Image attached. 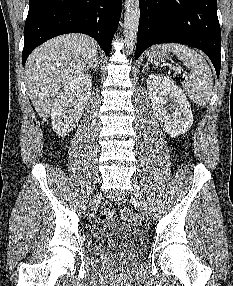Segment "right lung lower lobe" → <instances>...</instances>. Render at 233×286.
I'll use <instances>...</instances> for the list:
<instances>
[{"instance_id":"1","label":"right lung lower lobe","mask_w":233,"mask_h":286,"mask_svg":"<svg viewBox=\"0 0 233 286\" xmlns=\"http://www.w3.org/2000/svg\"><path fill=\"white\" fill-rule=\"evenodd\" d=\"M121 8L122 0H29L23 66L37 46L66 33L93 37L108 55Z\"/></svg>"}]
</instances>
